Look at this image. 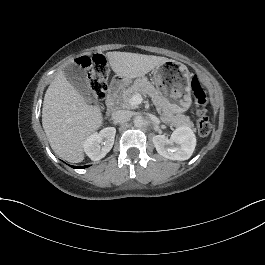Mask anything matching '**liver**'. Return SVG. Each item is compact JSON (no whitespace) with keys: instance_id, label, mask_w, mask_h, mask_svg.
I'll list each match as a JSON object with an SVG mask.
<instances>
[{"instance_id":"obj_1","label":"liver","mask_w":265,"mask_h":265,"mask_svg":"<svg viewBox=\"0 0 265 265\" xmlns=\"http://www.w3.org/2000/svg\"><path fill=\"white\" fill-rule=\"evenodd\" d=\"M112 70L121 78L141 77L169 61L166 57L129 52H107ZM101 109L86 104L63 72L48 87L43 101L42 125L53 151L72 163L83 161V142L102 125Z\"/></svg>"}]
</instances>
